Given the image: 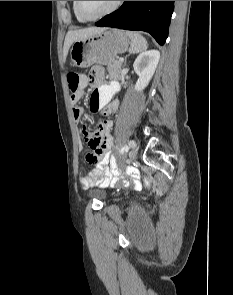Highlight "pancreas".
Masks as SVG:
<instances>
[{"instance_id":"1","label":"pancreas","mask_w":233,"mask_h":295,"mask_svg":"<svg viewBox=\"0 0 233 295\" xmlns=\"http://www.w3.org/2000/svg\"><path fill=\"white\" fill-rule=\"evenodd\" d=\"M121 68L122 62L120 60H114L110 64L107 65V70L109 73V77L112 79H120L121 78Z\"/></svg>"}]
</instances>
